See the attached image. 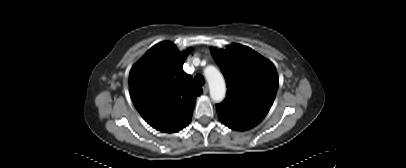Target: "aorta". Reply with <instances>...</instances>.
Wrapping results in <instances>:
<instances>
[{
	"label": "aorta",
	"instance_id": "aorta-1",
	"mask_svg": "<svg viewBox=\"0 0 406 168\" xmlns=\"http://www.w3.org/2000/svg\"><path fill=\"white\" fill-rule=\"evenodd\" d=\"M204 74L209 84L211 99L215 103L221 102L226 94V84L222 74L214 66H208L204 70Z\"/></svg>",
	"mask_w": 406,
	"mask_h": 168
}]
</instances>
